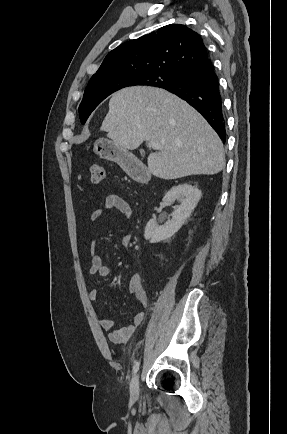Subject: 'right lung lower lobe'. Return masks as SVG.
<instances>
[{
  "mask_svg": "<svg viewBox=\"0 0 287 434\" xmlns=\"http://www.w3.org/2000/svg\"><path fill=\"white\" fill-rule=\"evenodd\" d=\"M193 106L225 142V118L218 78L210 58L187 68L178 80L165 87Z\"/></svg>",
  "mask_w": 287,
  "mask_h": 434,
  "instance_id": "98d812e1",
  "label": "right lung lower lobe"
}]
</instances>
